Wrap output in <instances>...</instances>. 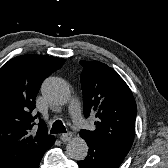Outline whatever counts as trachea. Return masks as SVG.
Instances as JSON below:
<instances>
[{
    "mask_svg": "<svg viewBox=\"0 0 168 168\" xmlns=\"http://www.w3.org/2000/svg\"><path fill=\"white\" fill-rule=\"evenodd\" d=\"M50 133H52V134L66 133L65 126L63 125L61 120H56L53 123Z\"/></svg>",
    "mask_w": 168,
    "mask_h": 168,
    "instance_id": "obj_1",
    "label": "trachea"
}]
</instances>
